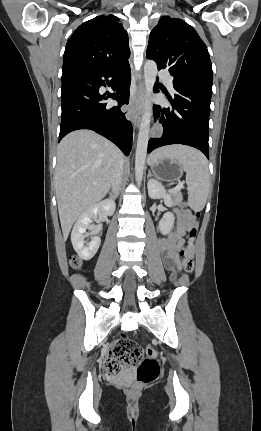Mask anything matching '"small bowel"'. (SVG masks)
I'll return each instance as SVG.
<instances>
[{"label": "small bowel", "mask_w": 261, "mask_h": 431, "mask_svg": "<svg viewBox=\"0 0 261 431\" xmlns=\"http://www.w3.org/2000/svg\"><path fill=\"white\" fill-rule=\"evenodd\" d=\"M177 216V227L169 236L158 242V250L162 256L165 268L171 272L181 270L180 250L188 239V230L194 227L195 221L189 214L182 210L175 211Z\"/></svg>", "instance_id": "obj_1"}]
</instances>
